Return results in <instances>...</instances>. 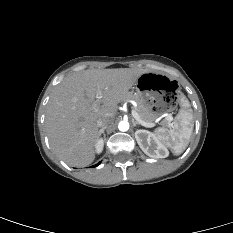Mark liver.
Here are the masks:
<instances>
[{
    "instance_id": "6515ba94",
    "label": "liver",
    "mask_w": 233,
    "mask_h": 233,
    "mask_svg": "<svg viewBox=\"0 0 233 233\" xmlns=\"http://www.w3.org/2000/svg\"><path fill=\"white\" fill-rule=\"evenodd\" d=\"M144 72L139 68L93 69L66 76L47 104L45 125L53 151L70 166L91 164L100 136L98 119L114 121L117 105Z\"/></svg>"
}]
</instances>
